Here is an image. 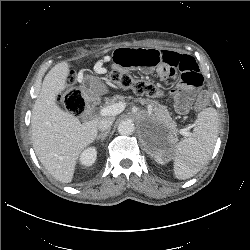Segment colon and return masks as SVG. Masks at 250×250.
Instances as JSON below:
<instances>
[{"mask_svg":"<svg viewBox=\"0 0 250 250\" xmlns=\"http://www.w3.org/2000/svg\"><path fill=\"white\" fill-rule=\"evenodd\" d=\"M109 80L115 86L122 89H130L137 94L147 95L150 97H165L173 99L176 97V91H164L153 82L135 79L131 75L123 74L118 71H111L109 73ZM72 77L68 76L66 83L68 87L59 95V103L71 114L81 116L85 112V101L81 92L78 89L72 88ZM210 102V95L206 89H203L198 95L195 103L194 110L199 112L203 110Z\"/></svg>","mask_w":250,"mask_h":250,"instance_id":"1","label":"colon"}]
</instances>
